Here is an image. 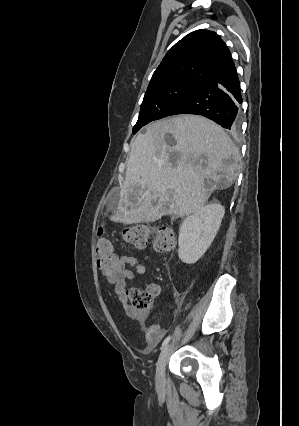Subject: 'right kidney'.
I'll return each mask as SVG.
<instances>
[{"label": "right kidney", "instance_id": "right-kidney-1", "mask_svg": "<svg viewBox=\"0 0 299 426\" xmlns=\"http://www.w3.org/2000/svg\"><path fill=\"white\" fill-rule=\"evenodd\" d=\"M225 208L219 203H210L188 216L179 229L178 255L186 264H194L214 240Z\"/></svg>", "mask_w": 299, "mask_h": 426}]
</instances>
